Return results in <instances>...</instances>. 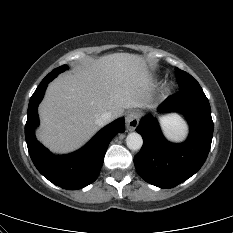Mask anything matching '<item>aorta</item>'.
Masks as SVG:
<instances>
[{"label":"aorta","mask_w":233,"mask_h":233,"mask_svg":"<svg viewBox=\"0 0 233 233\" xmlns=\"http://www.w3.org/2000/svg\"><path fill=\"white\" fill-rule=\"evenodd\" d=\"M143 139L140 134L131 132L126 137V145L131 150H139L142 147Z\"/></svg>","instance_id":"1"}]
</instances>
